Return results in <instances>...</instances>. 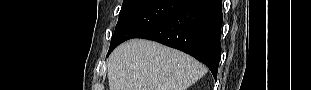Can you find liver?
Here are the masks:
<instances>
[{"label":"liver","instance_id":"1","mask_svg":"<svg viewBox=\"0 0 311 90\" xmlns=\"http://www.w3.org/2000/svg\"><path fill=\"white\" fill-rule=\"evenodd\" d=\"M207 69L191 56L156 42L132 39L110 55V90H186Z\"/></svg>","mask_w":311,"mask_h":90}]
</instances>
